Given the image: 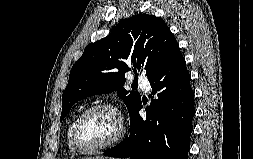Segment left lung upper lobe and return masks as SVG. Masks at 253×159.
<instances>
[{
	"instance_id": "1",
	"label": "left lung upper lobe",
	"mask_w": 253,
	"mask_h": 159,
	"mask_svg": "<svg viewBox=\"0 0 253 159\" xmlns=\"http://www.w3.org/2000/svg\"><path fill=\"white\" fill-rule=\"evenodd\" d=\"M179 50L174 35L159 17L139 14L120 21L107 37L87 46L73 65L62 95L61 120L81 99L114 91L131 114L141 97L122 87L124 74L132 66L135 72L144 70L149 79Z\"/></svg>"
}]
</instances>
